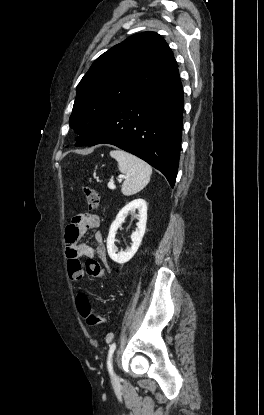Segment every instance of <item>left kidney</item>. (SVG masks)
<instances>
[{
	"instance_id": "5707ae66",
	"label": "left kidney",
	"mask_w": 264,
	"mask_h": 415,
	"mask_svg": "<svg viewBox=\"0 0 264 415\" xmlns=\"http://www.w3.org/2000/svg\"><path fill=\"white\" fill-rule=\"evenodd\" d=\"M138 211V223L136 230L131 235L132 244L130 248L125 251L118 252V248L115 245V235L119 226L124 222L128 213H134ZM147 222V204L143 199H135L124 206L116 216V219L110 226L109 234L107 237V250L110 258L118 264H124L128 262L137 252L142 238L145 233Z\"/></svg>"
}]
</instances>
